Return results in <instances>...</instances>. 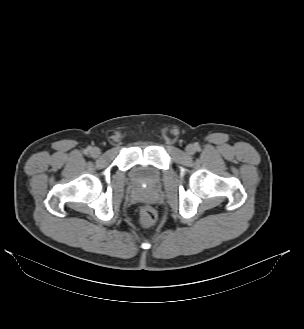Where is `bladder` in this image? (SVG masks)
Masks as SVG:
<instances>
[{
	"mask_svg": "<svg viewBox=\"0 0 304 329\" xmlns=\"http://www.w3.org/2000/svg\"><path fill=\"white\" fill-rule=\"evenodd\" d=\"M132 179L137 184L155 185L160 181V173L150 166H136L132 171Z\"/></svg>",
	"mask_w": 304,
	"mask_h": 329,
	"instance_id": "bladder-1",
	"label": "bladder"
}]
</instances>
